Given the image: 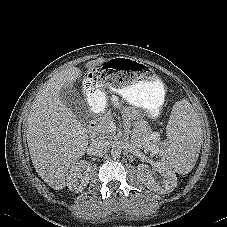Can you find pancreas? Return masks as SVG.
<instances>
[{
	"mask_svg": "<svg viewBox=\"0 0 227 227\" xmlns=\"http://www.w3.org/2000/svg\"><path fill=\"white\" fill-rule=\"evenodd\" d=\"M113 124V118L111 114L107 113L100 118L99 124L97 126V135L102 139H113L115 137V129L111 127ZM132 142L136 146L143 147L146 151L154 150L153 145L146 140L139 138L138 134L132 136Z\"/></svg>",
	"mask_w": 227,
	"mask_h": 227,
	"instance_id": "obj_1",
	"label": "pancreas"
}]
</instances>
